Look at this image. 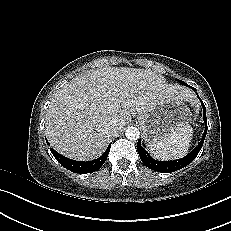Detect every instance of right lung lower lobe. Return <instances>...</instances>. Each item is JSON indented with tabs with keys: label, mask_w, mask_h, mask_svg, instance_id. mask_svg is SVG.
<instances>
[{
	"label": "right lung lower lobe",
	"mask_w": 231,
	"mask_h": 231,
	"mask_svg": "<svg viewBox=\"0 0 231 231\" xmlns=\"http://www.w3.org/2000/svg\"><path fill=\"white\" fill-rule=\"evenodd\" d=\"M47 144L49 145V142L46 140ZM111 144L108 146L106 151L103 153L102 156L99 158L92 160V161H87V162H82V161H75L72 159H69L59 153H57L55 150L50 149L53 156L57 159V161L66 169L75 172V173H80V174H85V173H92L97 171L101 166L104 164L106 161L109 151H110Z\"/></svg>",
	"instance_id": "obj_1"
}]
</instances>
